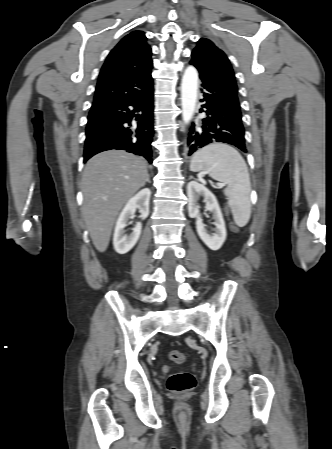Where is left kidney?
I'll use <instances>...</instances> for the list:
<instances>
[{"instance_id": "5707ae66", "label": "left kidney", "mask_w": 332, "mask_h": 449, "mask_svg": "<svg viewBox=\"0 0 332 449\" xmlns=\"http://www.w3.org/2000/svg\"><path fill=\"white\" fill-rule=\"evenodd\" d=\"M188 195V213L191 218L196 219V229L201 240L213 251L221 248L226 239L225 222L222 216L221 209L214 194L208 190L204 185L197 181H190L187 185ZM200 196L204 197L206 203V210L213 213L214 225L216 226L215 233L210 235L205 229L202 218L198 209L197 201Z\"/></svg>"}]
</instances>
